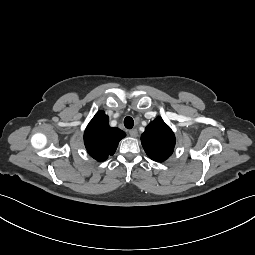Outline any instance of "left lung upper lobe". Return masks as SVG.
<instances>
[{
    "label": "left lung upper lobe",
    "instance_id": "1",
    "mask_svg": "<svg viewBox=\"0 0 255 255\" xmlns=\"http://www.w3.org/2000/svg\"><path fill=\"white\" fill-rule=\"evenodd\" d=\"M141 142L152 160L163 162L173 153L176 140L171 128L158 116L145 128Z\"/></svg>",
    "mask_w": 255,
    "mask_h": 255
}]
</instances>
